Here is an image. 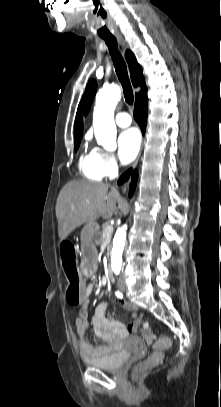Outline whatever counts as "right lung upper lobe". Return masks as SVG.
I'll return each mask as SVG.
<instances>
[{"label": "right lung upper lobe", "mask_w": 221, "mask_h": 407, "mask_svg": "<svg viewBox=\"0 0 221 407\" xmlns=\"http://www.w3.org/2000/svg\"><path fill=\"white\" fill-rule=\"evenodd\" d=\"M129 69H130V75H131V80L132 83L135 87L141 86V91L135 94V104L144 98L147 97V88L144 83V76L142 73V68L141 66L137 63L136 58L134 54L127 50L125 53ZM82 131H83V124H82V118H81V110L80 106L78 107L77 114H76V119H75V132H74V143L75 142H80V139L82 137Z\"/></svg>", "instance_id": "cb5924a9"}]
</instances>
